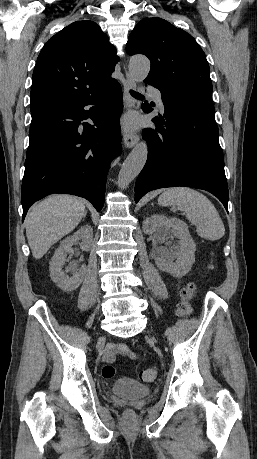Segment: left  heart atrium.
I'll return each mask as SVG.
<instances>
[{
  "instance_id": "obj_1",
  "label": "left heart atrium",
  "mask_w": 257,
  "mask_h": 459,
  "mask_svg": "<svg viewBox=\"0 0 257 459\" xmlns=\"http://www.w3.org/2000/svg\"><path fill=\"white\" fill-rule=\"evenodd\" d=\"M137 122L134 118H128L124 122V129L127 131H132L136 128Z\"/></svg>"
}]
</instances>
